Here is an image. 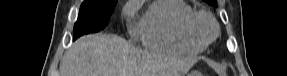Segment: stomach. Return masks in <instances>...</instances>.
<instances>
[{"label":"stomach","instance_id":"1","mask_svg":"<svg viewBox=\"0 0 287 76\" xmlns=\"http://www.w3.org/2000/svg\"><path fill=\"white\" fill-rule=\"evenodd\" d=\"M188 76H201V74L197 71H192Z\"/></svg>","mask_w":287,"mask_h":76}]
</instances>
